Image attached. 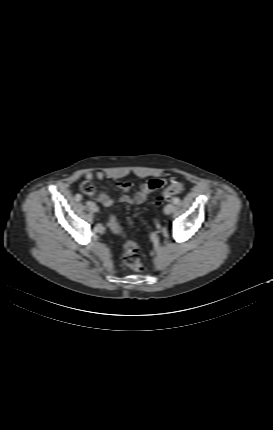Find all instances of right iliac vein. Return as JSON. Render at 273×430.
I'll return each mask as SVG.
<instances>
[{
  "label": "right iliac vein",
  "instance_id": "obj_1",
  "mask_svg": "<svg viewBox=\"0 0 273 430\" xmlns=\"http://www.w3.org/2000/svg\"><path fill=\"white\" fill-rule=\"evenodd\" d=\"M88 206H89L90 210L93 211V212H98L99 211L98 206L94 202H92V201H90V204Z\"/></svg>",
  "mask_w": 273,
  "mask_h": 430
}]
</instances>
